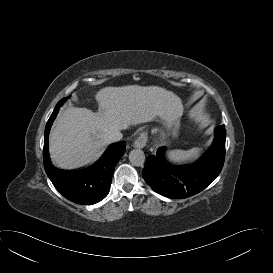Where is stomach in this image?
Wrapping results in <instances>:
<instances>
[{"mask_svg": "<svg viewBox=\"0 0 273 273\" xmlns=\"http://www.w3.org/2000/svg\"><path fill=\"white\" fill-rule=\"evenodd\" d=\"M176 115L170 114L163 117L167 125H172L176 120Z\"/></svg>", "mask_w": 273, "mask_h": 273, "instance_id": "1", "label": "stomach"}]
</instances>
